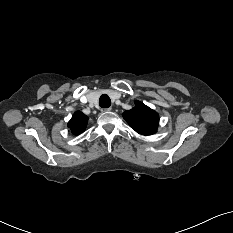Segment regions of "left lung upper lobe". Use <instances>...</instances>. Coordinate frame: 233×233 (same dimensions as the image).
<instances>
[{"mask_svg": "<svg viewBox=\"0 0 233 233\" xmlns=\"http://www.w3.org/2000/svg\"><path fill=\"white\" fill-rule=\"evenodd\" d=\"M124 119L137 133L151 135L157 131L158 114L140 101H135V107L123 113Z\"/></svg>", "mask_w": 233, "mask_h": 233, "instance_id": "left-lung-upper-lobe-1", "label": "left lung upper lobe"}]
</instances>
